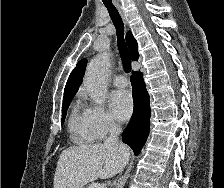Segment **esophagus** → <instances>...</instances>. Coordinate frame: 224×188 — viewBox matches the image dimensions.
<instances>
[{
	"mask_svg": "<svg viewBox=\"0 0 224 188\" xmlns=\"http://www.w3.org/2000/svg\"><path fill=\"white\" fill-rule=\"evenodd\" d=\"M117 7H118V10H119L121 16L123 17L124 21H126V18L124 16V13H123V10H122L121 6L120 5H117Z\"/></svg>",
	"mask_w": 224,
	"mask_h": 188,
	"instance_id": "34e87169",
	"label": "esophagus"
}]
</instances>
